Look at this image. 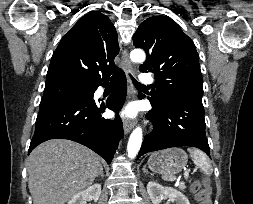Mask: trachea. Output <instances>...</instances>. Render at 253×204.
Here are the masks:
<instances>
[{
    "label": "trachea",
    "instance_id": "obj_1",
    "mask_svg": "<svg viewBox=\"0 0 253 204\" xmlns=\"http://www.w3.org/2000/svg\"><path fill=\"white\" fill-rule=\"evenodd\" d=\"M131 79H132V82L134 83V85L137 87V88H141V87H145L144 85H142L141 83H139L138 81H136L131 75H130ZM109 86H114V81H111L109 83Z\"/></svg>",
    "mask_w": 253,
    "mask_h": 204
}]
</instances>
